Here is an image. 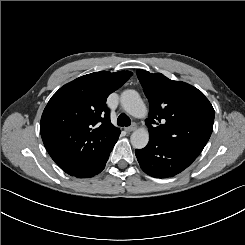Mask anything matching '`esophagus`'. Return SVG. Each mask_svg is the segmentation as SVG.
I'll list each match as a JSON object with an SVG mask.
<instances>
[{
  "instance_id": "esophagus-1",
  "label": "esophagus",
  "mask_w": 245,
  "mask_h": 245,
  "mask_svg": "<svg viewBox=\"0 0 245 245\" xmlns=\"http://www.w3.org/2000/svg\"><path fill=\"white\" fill-rule=\"evenodd\" d=\"M137 129V125H136V123H133L132 124V126H130V127H125V131L126 132H132V131H134V130H136Z\"/></svg>"
}]
</instances>
